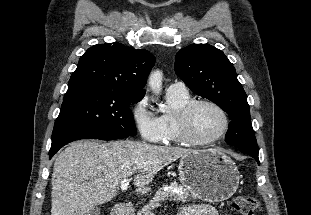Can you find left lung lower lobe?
<instances>
[{"mask_svg": "<svg viewBox=\"0 0 311 215\" xmlns=\"http://www.w3.org/2000/svg\"><path fill=\"white\" fill-rule=\"evenodd\" d=\"M240 151L249 154L250 156H252L253 158H255V160L259 163L258 153L250 152V151L243 150V149H240Z\"/></svg>", "mask_w": 311, "mask_h": 215, "instance_id": "0a47b994", "label": "left lung lower lobe"}]
</instances>
